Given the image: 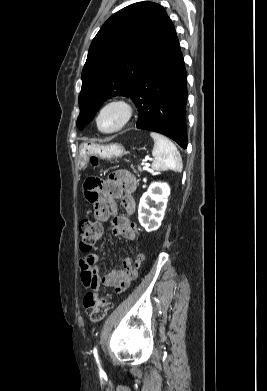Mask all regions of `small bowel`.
<instances>
[{
  "instance_id": "obj_1",
  "label": "small bowel",
  "mask_w": 267,
  "mask_h": 391,
  "mask_svg": "<svg viewBox=\"0 0 267 391\" xmlns=\"http://www.w3.org/2000/svg\"><path fill=\"white\" fill-rule=\"evenodd\" d=\"M136 188L135 176L125 170L117 171L107 181L90 178L84 186L85 197L93 206L95 220L104 222L111 218L112 234L131 241L140 238L139 228L127 216L118 214L116 202L119 201L126 213L132 215L136 209L133 198ZM144 258L143 252H138L134 260L125 257L119 267L112 268L102 276L99 270V255L83 256L79 261L82 283L93 290H98L102 283L112 287L116 293H121L137 277L138 269Z\"/></svg>"
}]
</instances>
